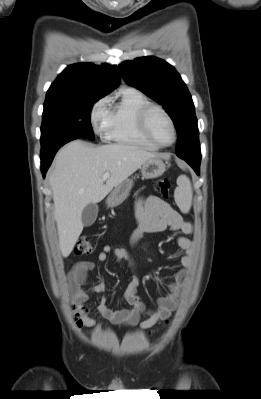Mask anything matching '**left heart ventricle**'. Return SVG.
I'll return each mask as SVG.
<instances>
[{"label":"left heart ventricle","mask_w":261,"mask_h":399,"mask_svg":"<svg viewBox=\"0 0 261 399\" xmlns=\"http://www.w3.org/2000/svg\"><path fill=\"white\" fill-rule=\"evenodd\" d=\"M148 126L151 135L160 143L168 144L173 139V132L166 117L158 110H154L148 117Z\"/></svg>","instance_id":"left-heart-ventricle-1"}]
</instances>
